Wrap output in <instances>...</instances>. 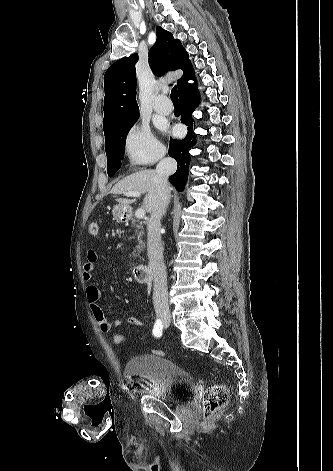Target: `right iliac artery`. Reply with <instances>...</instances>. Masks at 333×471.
Returning <instances> with one entry per match:
<instances>
[{
	"mask_svg": "<svg viewBox=\"0 0 333 471\" xmlns=\"http://www.w3.org/2000/svg\"><path fill=\"white\" fill-rule=\"evenodd\" d=\"M162 329H163L162 321L160 319H157L154 324L153 335L155 337H160L162 335Z\"/></svg>",
	"mask_w": 333,
	"mask_h": 471,
	"instance_id": "right-iliac-artery-1",
	"label": "right iliac artery"
}]
</instances>
